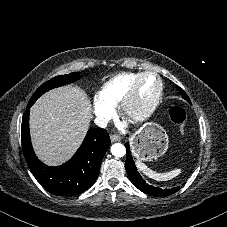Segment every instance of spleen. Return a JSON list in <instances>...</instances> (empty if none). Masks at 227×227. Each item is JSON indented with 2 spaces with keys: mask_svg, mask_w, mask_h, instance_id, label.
Segmentation results:
<instances>
[{
  "mask_svg": "<svg viewBox=\"0 0 227 227\" xmlns=\"http://www.w3.org/2000/svg\"><path fill=\"white\" fill-rule=\"evenodd\" d=\"M136 166L139 172L143 173L144 175L148 176L149 178L155 179L157 181H167L170 180L176 176H178L181 173L180 169H174L169 172L165 173H157L150 168H148L144 163H142L140 160H136Z\"/></svg>",
  "mask_w": 227,
  "mask_h": 227,
  "instance_id": "obj_1",
  "label": "spleen"
}]
</instances>
